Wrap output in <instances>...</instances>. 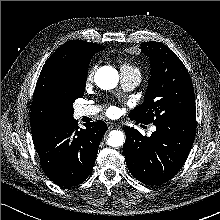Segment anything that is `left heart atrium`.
<instances>
[{
    "label": "left heart atrium",
    "mask_w": 220,
    "mask_h": 220,
    "mask_svg": "<svg viewBox=\"0 0 220 220\" xmlns=\"http://www.w3.org/2000/svg\"><path fill=\"white\" fill-rule=\"evenodd\" d=\"M117 112H118V108L116 106L111 105L107 108V114L110 116L117 114Z\"/></svg>",
    "instance_id": "left-heart-atrium-1"
}]
</instances>
